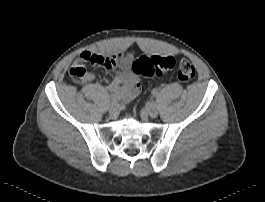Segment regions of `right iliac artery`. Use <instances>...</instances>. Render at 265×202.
<instances>
[{
	"mask_svg": "<svg viewBox=\"0 0 265 202\" xmlns=\"http://www.w3.org/2000/svg\"><path fill=\"white\" fill-rule=\"evenodd\" d=\"M119 100H120V98H119L118 96H116V95L111 96V98H110V104H115V103H117Z\"/></svg>",
	"mask_w": 265,
	"mask_h": 202,
	"instance_id": "right-iliac-artery-1",
	"label": "right iliac artery"
}]
</instances>
